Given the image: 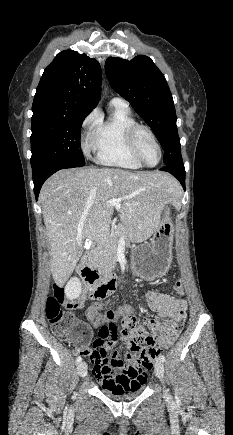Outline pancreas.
<instances>
[{"label": "pancreas", "mask_w": 233, "mask_h": 435, "mask_svg": "<svg viewBox=\"0 0 233 435\" xmlns=\"http://www.w3.org/2000/svg\"><path fill=\"white\" fill-rule=\"evenodd\" d=\"M125 232L124 223L114 227L95 256V263L102 273H108L117 261V247L120 237Z\"/></svg>", "instance_id": "cf45deb5"}]
</instances>
